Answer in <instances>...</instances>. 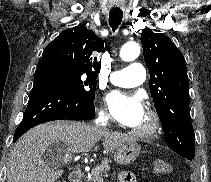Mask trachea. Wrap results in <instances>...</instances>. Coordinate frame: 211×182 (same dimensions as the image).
Returning a JSON list of instances; mask_svg holds the SVG:
<instances>
[{
	"label": "trachea",
	"instance_id": "trachea-1",
	"mask_svg": "<svg viewBox=\"0 0 211 182\" xmlns=\"http://www.w3.org/2000/svg\"><path fill=\"white\" fill-rule=\"evenodd\" d=\"M123 12L121 10H111L109 13V25L113 32L116 31L122 21Z\"/></svg>",
	"mask_w": 211,
	"mask_h": 182
}]
</instances>
